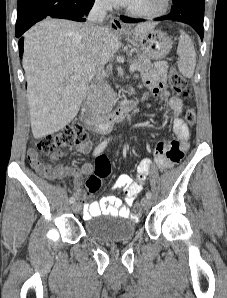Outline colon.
I'll return each instance as SVG.
<instances>
[{"instance_id":"1","label":"colon","mask_w":227,"mask_h":298,"mask_svg":"<svg viewBox=\"0 0 227 298\" xmlns=\"http://www.w3.org/2000/svg\"><path fill=\"white\" fill-rule=\"evenodd\" d=\"M169 84L171 88L185 97H188L190 92L185 78L175 69L172 68L169 72ZM195 112L193 109H188L185 115V120L189 125L195 123ZM87 133L84 127L80 124L68 125L62 130L48 134L37 141V147L40 151L46 153H59L64 148H69L85 142ZM111 171L110 162L105 156H100L96 160L95 172L90 175L87 180V188L90 193L99 191L102 185V179L109 176ZM140 206L136 204L135 213H140Z\"/></svg>"}]
</instances>
